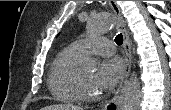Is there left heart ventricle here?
<instances>
[{
  "mask_svg": "<svg viewBox=\"0 0 171 110\" xmlns=\"http://www.w3.org/2000/svg\"><path fill=\"white\" fill-rule=\"evenodd\" d=\"M81 80L86 88L94 93H99V90L94 85V71L88 69L79 70Z\"/></svg>",
  "mask_w": 171,
  "mask_h": 110,
  "instance_id": "obj_1",
  "label": "left heart ventricle"
}]
</instances>
